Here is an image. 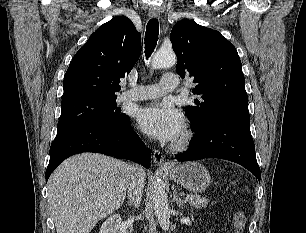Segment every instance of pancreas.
Returning <instances> with one entry per match:
<instances>
[{
	"instance_id": "cf45deb5",
	"label": "pancreas",
	"mask_w": 306,
	"mask_h": 233,
	"mask_svg": "<svg viewBox=\"0 0 306 233\" xmlns=\"http://www.w3.org/2000/svg\"><path fill=\"white\" fill-rule=\"evenodd\" d=\"M188 196L191 198L189 200V204L191 206H194L195 208L206 207L209 203V200L205 197H201V196L195 195V194H189Z\"/></svg>"
}]
</instances>
